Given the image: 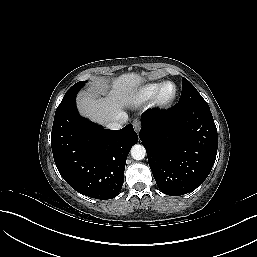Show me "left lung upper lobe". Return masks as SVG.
<instances>
[{
    "label": "left lung upper lobe",
    "mask_w": 257,
    "mask_h": 257,
    "mask_svg": "<svg viewBox=\"0 0 257 257\" xmlns=\"http://www.w3.org/2000/svg\"><path fill=\"white\" fill-rule=\"evenodd\" d=\"M182 80L181 98L176 106L180 108L190 106L209 107L196 88L186 78L183 77Z\"/></svg>",
    "instance_id": "5c2ea615"
}]
</instances>
